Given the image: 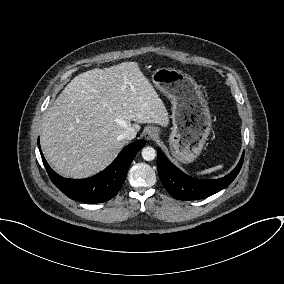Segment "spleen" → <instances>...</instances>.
<instances>
[{
	"instance_id": "1",
	"label": "spleen",
	"mask_w": 284,
	"mask_h": 284,
	"mask_svg": "<svg viewBox=\"0 0 284 284\" xmlns=\"http://www.w3.org/2000/svg\"><path fill=\"white\" fill-rule=\"evenodd\" d=\"M222 167H223V165H218V166H215V167H212V168L203 170V171L199 172V174H208V173H211V172H213V171L219 170V169H221Z\"/></svg>"
}]
</instances>
